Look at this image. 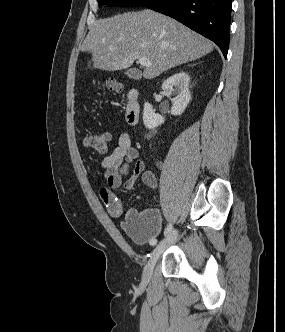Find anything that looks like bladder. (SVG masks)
I'll list each match as a JSON object with an SVG mask.
<instances>
[{"label": "bladder", "mask_w": 285, "mask_h": 332, "mask_svg": "<svg viewBox=\"0 0 285 332\" xmlns=\"http://www.w3.org/2000/svg\"><path fill=\"white\" fill-rule=\"evenodd\" d=\"M124 229L136 244L148 245L160 232V214L153 208L130 212L125 218Z\"/></svg>", "instance_id": "bladder-1"}]
</instances>
